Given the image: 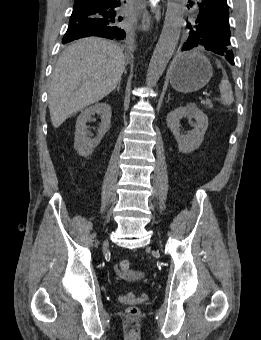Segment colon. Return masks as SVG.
<instances>
[{
    "instance_id": "1",
    "label": "colon",
    "mask_w": 261,
    "mask_h": 340,
    "mask_svg": "<svg viewBox=\"0 0 261 340\" xmlns=\"http://www.w3.org/2000/svg\"><path fill=\"white\" fill-rule=\"evenodd\" d=\"M131 270V263L127 259H122L120 260L116 266H115V271L119 275H127ZM128 313L131 316H136L139 313V309L136 307H130L128 309Z\"/></svg>"
}]
</instances>
